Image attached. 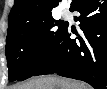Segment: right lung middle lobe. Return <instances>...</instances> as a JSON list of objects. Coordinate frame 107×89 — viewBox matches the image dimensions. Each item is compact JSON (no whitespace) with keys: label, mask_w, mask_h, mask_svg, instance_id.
<instances>
[{"label":"right lung middle lobe","mask_w":107,"mask_h":89,"mask_svg":"<svg viewBox=\"0 0 107 89\" xmlns=\"http://www.w3.org/2000/svg\"><path fill=\"white\" fill-rule=\"evenodd\" d=\"M67 26L50 16L8 27L5 53L9 80L32 77L56 48Z\"/></svg>","instance_id":"obj_1"}]
</instances>
